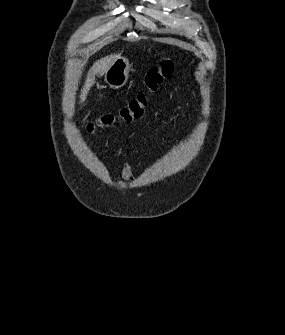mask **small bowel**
<instances>
[{
	"instance_id": "c3829d8e",
	"label": "small bowel",
	"mask_w": 285,
	"mask_h": 335,
	"mask_svg": "<svg viewBox=\"0 0 285 335\" xmlns=\"http://www.w3.org/2000/svg\"><path fill=\"white\" fill-rule=\"evenodd\" d=\"M121 176L124 181L133 182L135 180V174L132 168L128 164H123L121 168Z\"/></svg>"
}]
</instances>
